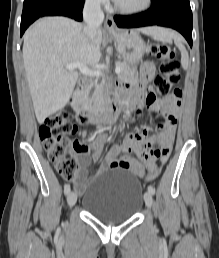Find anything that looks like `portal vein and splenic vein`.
I'll return each mask as SVG.
<instances>
[{
	"label": "portal vein and splenic vein",
	"instance_id": "18ae733b",
	"mask_svg": "<svg viewBox=\"0 0 219 258\" xmlns=\"http://www.w3.org/2000/svg\"><path fill=\"white\" fill-rule=\"evenodd\" d=\"M66 69L72 70V69H79L80 72L84 75L88 76H99L101 75L100 71H92L90 70L85 64L83 63H73L65 66ZM115 72L119 74L121 72V67L116 65Z\"/></svg>",
	"mask_w": 219,
	"mask_h": 258
}]
</instances>
